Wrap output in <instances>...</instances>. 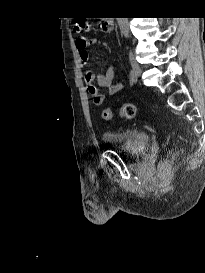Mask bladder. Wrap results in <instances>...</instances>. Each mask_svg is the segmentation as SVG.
<instances>
[{
    "mask_svg": "<svg viewBox=\"0 0 205 273\" xmlns=\"http://www.w3.org/2000/svg\"><path fill=\"white\" fill-rule=\"evenodd\" d=\"M102 137L116 152L125 156L136 157L149 149V136L139 129H113L105 128Z\"/></svg>",
    "mask_w": 205,
    "mask_h": 273,
    "instance_id": "31cf9c89",
    "label": "bladder"
}]
</instances>
